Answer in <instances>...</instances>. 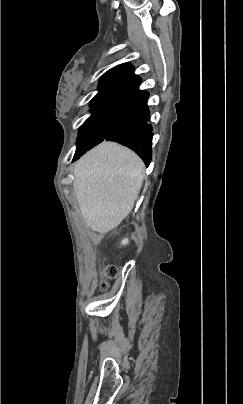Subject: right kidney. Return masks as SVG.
<instances>
[{"mask_svg":"<svg viewBox=\"0 0 243 404\" xmlns=\"http://www.w3.org/2000/svg\"><path fill=\"white\" fill-rule=\"evenodd\" d=\"M121 244H122V246H127L128 238H124V240H122Z\"/></svg>","mask_w":243,"mask_h":404,"instance_id":"right-kidney-1","label":"right kidney"}]
</instances>
